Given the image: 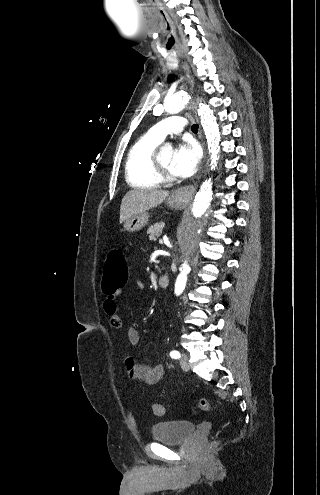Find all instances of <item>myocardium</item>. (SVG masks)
<instances>
[{"label":"myocardium","instance_id":"f54148a6","mask_svg":"<svg viewBox=\"0 0 320 495\" xmlns=\"http://www.w3.org/2000/svg\"><path fill=\"white\" fill-rule=\"evenodd\" d=\"M160 152L161 150L157 148L153 154V165L155 171L161 179H171L170 171L162 164Z\"/></svg>","mask_w":320,"mask_h":495}]
</instances>
